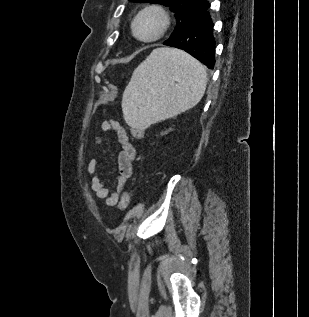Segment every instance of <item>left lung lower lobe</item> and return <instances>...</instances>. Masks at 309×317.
<instances>
[{"label": "left lung lower lobe", "instance_id": "1", "mask_svg": "<svg viewBox=\"0 0 309 317\" xmlns=\"http://www.w3.org/2000/svg\"><path fill=\"white\" fill-rule=\"evenodd\" d=\"M207 2L197 9L184 29L172 35L163 44L183 49L208 68L215 64L214 23Z\"/></svg>", "mask_w": 309, "mask_h": 317}]
</instances>
